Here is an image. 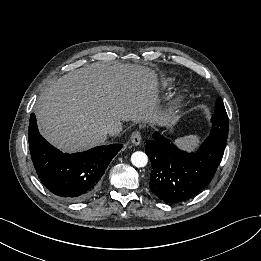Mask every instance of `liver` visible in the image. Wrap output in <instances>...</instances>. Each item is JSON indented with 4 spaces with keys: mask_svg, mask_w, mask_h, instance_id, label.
<instances>
[{
    "mask_svg": "<svg viewBox=\"0 0 261 261\" xmlns=\"http://www.w3.org/2000/svg\"><path fill=\"white\" fill-rule=\"evenodd\" d=\"M157 92L156 75L145 66L93 63L44 90L35 111L39 130L65 152L88 149L105 142L103 129L109 124L169 122L174 114L157 111Z\"/></svg>",
    "mask_w": 261,
    "mask_h": 261,
    "instance_id": "1",
    "label": "liver"
}]
</instances>
